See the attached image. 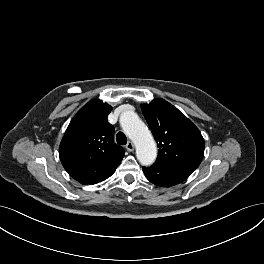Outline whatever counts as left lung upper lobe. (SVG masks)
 Segmentation results:
<instances>
[{"label": "left lung upper lobe", "instance_id": "left-lung-upper-lobe-1", "mask_svg": "<svg viewBox=\"0 0 264 264\" xmlns=\"http://www.w3.org/2000/svg\"><path fill=\"white\" fill-rule=\"evenodd\" d=\"M141 107L159 147L156 161L195 170L204 154V139L198 128L163 99H154Z\"/></svg>", "mask_w": 264, "mask_h": 264}]
</instances>
